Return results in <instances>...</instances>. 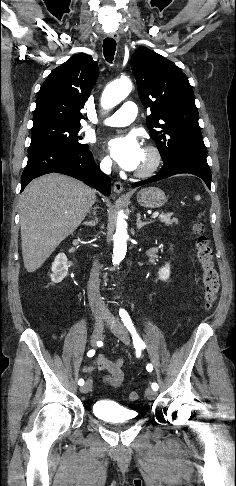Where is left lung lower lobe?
<instances>
[{"instance_id":"0a47b994","label":"left lung lower lobe","mask_w":236,"mask_h":486,"mask_svg":"<svg viewBox=\"0 0 236 486\" xmlns=\"http://www.w3.org/2000/svg\"><path fill=\"white\" fill-rule=\"evenodd\" d=\"M180 173H189L200 177L204 180L208 188L211 189V171L206 157L193 155H178L168 159L155 176L136 182L133 186L138 187Z\"/></svg>"}]
</instances>
